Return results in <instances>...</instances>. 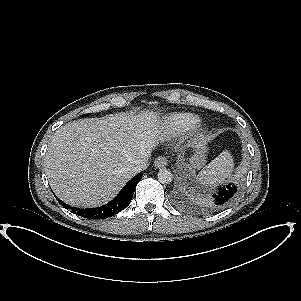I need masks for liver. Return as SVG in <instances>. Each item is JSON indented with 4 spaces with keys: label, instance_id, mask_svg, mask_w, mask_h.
Segmentation results:
<instances>
[{
    "label": "liver",
    "instance_id": "liver-1",
    "mask_svg": "<svg viewBox=\"0 0 301 301\" xmlns=\"http://www.w3.org/2000/svg\"><path fill=\"white\" fill-rule=\"evenodd\" d=\"M154 115H109L72 121L53 135L45 156L54 193L76 207L112 200L135 175L132 165L151 154L165 133Z\"/></svg>",
    "mask_w": 301,
    "mask_h": 301
}]
</instances>
